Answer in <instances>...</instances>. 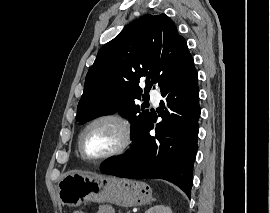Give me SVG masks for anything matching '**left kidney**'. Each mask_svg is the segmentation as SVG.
Segmentation results:
<instances>
[{
  "mask_svg": "<svg viewBox=\"0 0 270 213\" xmlns=\"http://www.w3.org/2000/svg\"><path fill=\"white\" fill-rule=\"evenodd\" d=\"M145 213H172V210L168 206L156 205L149 208Z\"/></svg>",
  "mask_w": 270,
  "mask_h": 213,
  "instance_id": "1",
  "label": "left kidney"
}]
</instances>
